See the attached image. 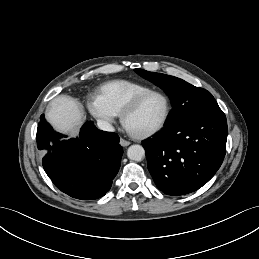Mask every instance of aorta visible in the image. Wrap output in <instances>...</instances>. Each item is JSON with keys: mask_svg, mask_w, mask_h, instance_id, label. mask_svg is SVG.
Returning a JSON list of instances; mask_svg holds the SVG:
<instances>
[{"mask_svg": "<svg viewBox=\"0 0 259 259\" xmlns=\"http://www.w3.org/2000/svg\"><path fill=\"white\" fill-rule=\"evenodd\" d=\"M127 156L130 160L141 161L145 157V150L141 145H131L127 150Z\"/></svg>", "mask_w": 259, "mask_h": 259, "instance_id": "aorta-1", "label": "aorta"}]
</instances>
